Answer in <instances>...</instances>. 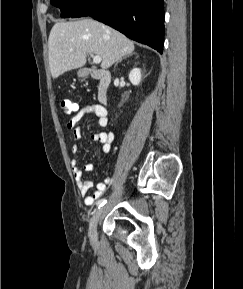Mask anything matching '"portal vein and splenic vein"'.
<instances>
[{
    "label": "portal vein and splenic vein",
    "instance_id": "1",
    "mask_svg": "<svg viewBox=\"0 0 243 289\" xmlns=\"http://www.w3.org/2000/svg\"><path fill=\"white\" fill-rule=\"evenodd\" d=\"M90 56L92 57L93 59V62L96 63V64H99L101 62V57L98 56V55H93L92 53H90Z\"/></svg>",
    "mask_w": 243,
    "mask_h": 289
}]
</instances>
